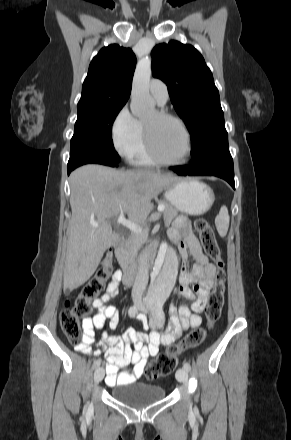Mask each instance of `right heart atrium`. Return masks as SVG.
Returning <instances> with one entry per match:
<instances>
[{"instance_id":"d8ad5b80","label":"right heart atrium","mask_w":291,"mask_h":440,"mask_svg":"<svg viewBox=\"0 0 291 440\" xmlns=\"http://www.w3.org/2000/svg\"><path fill=\"white\" fill-rule=\"evenodd\" d=\"M140 134V122L131 114L127 106L122 107L111 127V137L115 150L120 155L128 157L136 148Z\"/></svg>"}]
</instances>
